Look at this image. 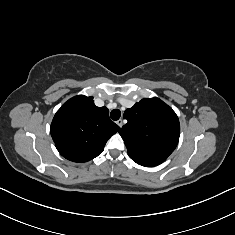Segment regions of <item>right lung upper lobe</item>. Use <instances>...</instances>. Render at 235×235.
<instances>
[{
    "label": "right lung upper lobe",
    "mask_w": 235,
    "mask_h": 235,
    "mask_svg": "<svg viewBox=\"0 0 235 235\" xmlns=\"http://www.w3.org/2000/svg\"><path fill=\"white\" fill-rule=\"evenodd\" d=\"M120 127L109 118L106 107H97L93 97L69 99L55 114L50 132L60 154L73 162H87L104 150Z\"/></svg>",
    "instance_id": "right-lung-upper-lobe-1"
}]
</instances>
